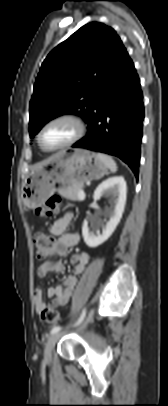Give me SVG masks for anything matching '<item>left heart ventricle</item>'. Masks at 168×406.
<instances>
[{
    "label": "left heart ventricle",
    "instance_id": "b2bd125f",
    "mask_svg": "<svg viewBox=\"0 0 168 406\" xmlns=\"http://www.w3.org/2000/svg\"><path fill=\"white\" fill-rule=\"evenodd\" d=\"M75 132V128L68 122H57L49 125L42 133V143L48 148L58 147L66 143Z\"/></svg>",
    "mask_w": 168,
    "mask_h": 406
}]
</instances>
